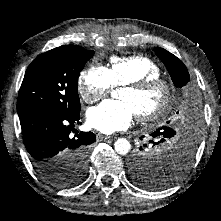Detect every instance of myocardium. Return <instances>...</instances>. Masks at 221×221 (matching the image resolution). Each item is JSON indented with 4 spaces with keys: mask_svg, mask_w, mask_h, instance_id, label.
<instances>
[{
    "mask_svg": "<svg viewBox=\"0 0 221 221\" xmlns=\"http://www.w3.org/2000/svg\"><path fill=\"white\" fill-rule=\"evenodd\" d=\"M123 86L135 93H143L154 88H161L163 91V100L155 110L148 113L136 114L140 121L158 120L168 112L174 100L175 90L173 84L162 77L146 78Z\"/></svg>",
    "mask_w": 221,
    "mask_h": 221,
    "instance_id": "1",
    "label": "myocardium"
}]
</instances>
